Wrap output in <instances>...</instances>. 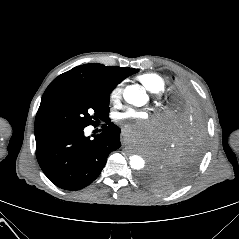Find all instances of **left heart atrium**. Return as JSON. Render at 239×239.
<instances>
[{
  "label": "left heart atrium",
  "mask_w": 239,
  "mask_h": 239,
  "mask_svg": "<svg viewBox=\"0 0 239 239\" xmlns=\"http://www.w3.org/2000/svg\"><path fill=\"white\" fill-rule=\"evenodd\" d=\"M115 117L117 120H136V123H129L125 126L129 133H136L138 129L148 131L154 127L157 121V118L149 116L147 112L134 109L118 113Z\"/></svg>",
  "instance_id": "left-heart-atrium-1"
}]
</instances>
